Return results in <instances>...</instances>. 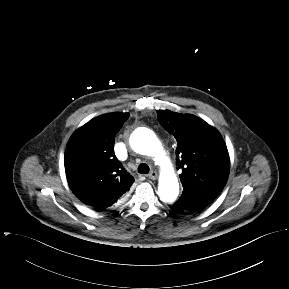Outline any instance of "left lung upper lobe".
<instances>
[{"instance_id":"5c2ea615","label":"left lung upper lobe","mask_w":289,"mask_h":289,"mask_svg":"<svg viewBox=\"0 0 289 289\" xmlns=\"http://www.w3.org/2000/svg\"><path fill=\"white\" fill-rule=\"evenodd\" d=\"M158 121L177 140L176 164L182 169V196L211 203L226 185L230 160L220 133L202 119L157 110Z\"/></svg>"}]
</instances>
